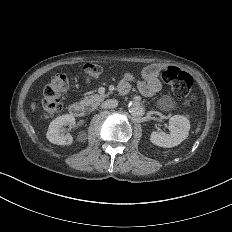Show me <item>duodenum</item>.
Here are the masks:
<instances>
[{
    "mask_svg": "<svg viewBox=\"0 0 232 232\" xmlns=\"http://www.w3.org/2000/svg\"><path fill=\"white\" fill-rule=\"evenodd\" d=\"M69 112L74 117H82L84 115V107L79 103H72L69 106Z\"/></svg>",
    "mask_w": 232,
    "mask_h": 232,
    "instance_id": "duodenum-1",
    "label": "duodenum"
}]
</instances>
